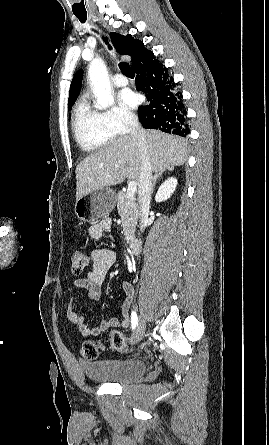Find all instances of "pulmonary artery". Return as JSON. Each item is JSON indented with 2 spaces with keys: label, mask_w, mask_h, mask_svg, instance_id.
Returning <instances> with one entry per match:
<instances>
[{
  "label": "pulmonary artery",
  "mask_w": 269,
  "mask_h": 445,
  "mask_svg": "<svg viewBox=\"0 0 269 445\" xmlns=\"http://www.w3.org/2000/svg\"><path fill=\"white\" fill-rule=\"evenodd\" d=\"M114 84L116 85V86H118V87H124V86H126V85H128V80H127V78H125L123 75H121V74H117L115 77H114Z\"/></svg>",
  "instance_id": "obj_1"
}]
</instances>
